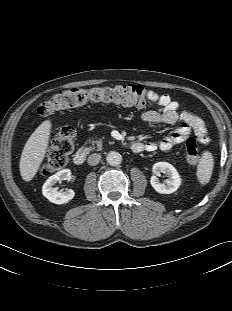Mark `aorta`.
I'll use <instances>...</instances> for the list:
<instances>
[{"label": "aorta", "instance_id": "762f6f07", "mask_svg": "<svg viewBox=\"0 0 232 311\" xmlns=\"http://www.w3.org/2000/svg\"><path fill=\"white\" fill-rule=\"evenodd\" d=\"M107 163L111 166H117L121 163L122 157L116 151H110L106 157Z\"/></svg>", "mask_w": 232, "mask_h": 311}]
</instances>
